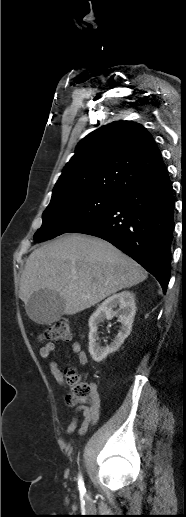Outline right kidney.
Returning a JSON list of instances; mask_svg holds the SVG:
<instances>
[{"label": "right kidney", "instance_id": "right-kidney-1", "mask_svg": "<svg viewBox=\"0 0 186 517\" xmlns=\"http://www.w3.org/2000/svg\"><path fill=\"white\" fill-rule=\"evenodd\" d=\"M119 307L118 310L113 309ZM136 313L135 295L130 291H123L107 298L89 318V353L93 360L100 362L119 349L124 340L130 335L132 323ZM114 315H118L121 323V330L114 341L106 347H101L98 342V325L105 319L110 320Z\"/></svg>", "mask_w": 186, "mask_h": 517}]
</instances>
